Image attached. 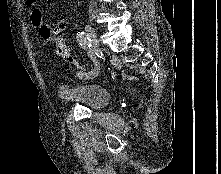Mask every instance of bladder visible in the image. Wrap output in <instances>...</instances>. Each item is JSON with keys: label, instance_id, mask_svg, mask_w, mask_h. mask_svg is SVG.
<instances>
[{"label": "bladder", "instance_id": "obj_1", "mask_svg": "<svg viewBox=\"0 0 221 174\" xmlns=\"http://www.w3.org/2000/svg\"><path fill=\"white\" fill-rule=\"evenodd\" d=\"M57 98L63 103L80 104L91 109L105 107L110 93L105 86L94 81L69 82L61 80L57 85Z\"/></svg>", "mask_w": 221, "mask_h": 174}]
</instances>
